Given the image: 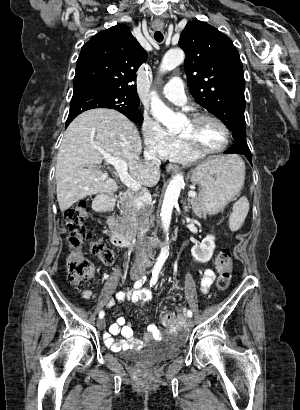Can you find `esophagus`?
Returning a JSON list of instances; mask_svg holds the SVG:
<instances>
[{"label":"esophagus","mask_w":300,"mask_h":410,"mask_svg":"<svg viewBox=\"0 0 300 410\" xmlns=\"http://www.w3.org/2000/svg\"><path fill=\"white\" fill-rule=\"evenodd\" d=\"M156 28H157L158 30H160V29H162V26H157ZM166 170H167L168 172L175 171V170H176V166L173 165V164H168V165L166 166Z\"/></svg>","instance_id":"esophagus-1"}]
</instances>
